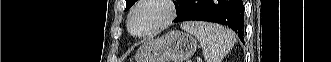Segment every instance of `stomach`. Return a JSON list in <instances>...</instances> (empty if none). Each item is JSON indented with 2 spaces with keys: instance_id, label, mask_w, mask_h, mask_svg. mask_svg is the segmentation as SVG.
I'll list each match as a JSON object with an SVG mask.
<instances>
[{
  "instance_id": "1",
  "label": "stomach",
  "mask_w": 331,
  "mask_h": 62,
  "mask_svg": "<svg viewBox=\"0 0 331 62\" xmlns=\"http://www.w3.org/2000/svg\"><path fill=\"white\" fill-rule=\"evenodd\" d=\"M197 49L196 39L181 31H171L147 41L136 53V62H185Z\"/></svg>"
}]
</instances>
